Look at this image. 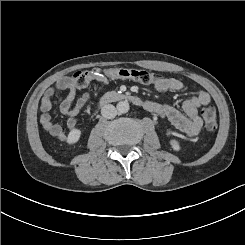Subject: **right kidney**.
I'll return each mask as SVG.
<instances>
[{
  "instance_id": "obj_1",
  "label": "right kidney",
  "mask_w": 245,
  "mask_h": 245,
  "mask_svg": "<svg viewBox=\"0 0 245 245\" xmlns=\"http://www.w3.org/2000/svg\"><path fill=\"white\" fill-rule=\"evenodd\" d=\"M70 143L69 144H73L76 143L81 135V131L79 129H73L70 131Z\"/></svg>"
}]
</instances>
